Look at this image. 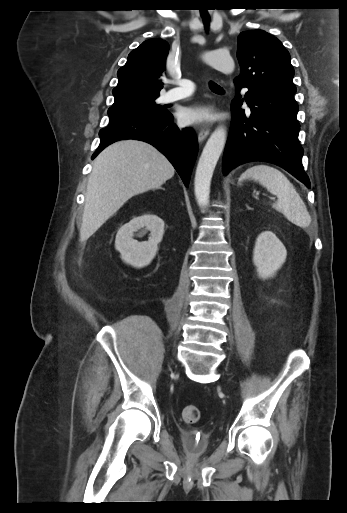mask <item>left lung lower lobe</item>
Instances as JSON below:
<instances>
[{
    "mask_svg": "<svg viewBox=\"0 0 347 513\" xmlns=\"http://www.w3.org/2000/svg\"><path fill=\"white\" fill-rule=\"evenodd\" d=\"M294 93L248 88L243 99L236 94L231 103L233 118L223 157L224 175L240 164L265 161L284 168L310 188L302 166ZM243 101L250 107V116L240 108Z\"/></svg>",
    "mask_w": 347,
    "mask_h": 513,
    "instance_id": "left-lung-lower-lobe-1",
    "label": "left lung lower lobe"
}]
</instances>
